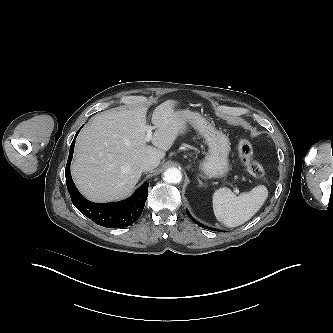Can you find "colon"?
Masks as SVG:
<instances>
[{
  "instance_id": "1",
  "label": "colon",
  "mask_w": 333,
  "mask_h": 333,
  "mask_svg": "<svg viewBox=\"0 0 333 333\" xmlns=\"http://www.w3.org/2000/svg\"><path fill=\"white\" fill-rule=\"evenodd\" d=\"M238 152L247 172L256 179L265 175L264 167L253 158V147L249 140L242 138L238 143Z\"/></svg>"
}]
</instances>
